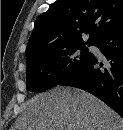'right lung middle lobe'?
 <instances>
[{
  "label": "right lung middle lobe",
  "instance_id": "right-lung-middle-lobe-1",
  "mask_svg": "<svg viewBox=\"0 0 123 130\" xmlns=\"http://www.w3.org/2000/svg\"><path fill=\"white\" fill-rule=\"evenodd\" d=\"M90 55L84 44H78L27 60V91L43 92L59 85L83 65Z\"/></svg>",
  "mask_w": 123,
  "mask_h": 130
}]
</instances>
